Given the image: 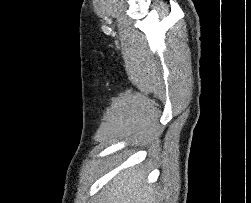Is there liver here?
<instances>
[{
  "label": "liver",
  "mask_w": 251,
  "mask_h": 203,
  "mask_svg": "<svg viewBox=\"0 0 251 203\" xmlns=\"http://www.w3.org/2000/svg\"><path fill=\"white\" fill-rule=\"evenodd\" d=\"M146 173L134 168L119 174L105 192L106 203H152L153 188L146 184Z\"/></svg>",
  "instance_id": "1"
}]
</instances>
